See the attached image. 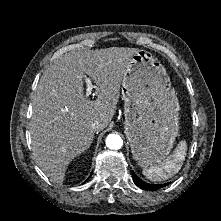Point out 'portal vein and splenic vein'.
I'll list each match as a JSON object with an SVG mask.
<instances>
[{"label":"portal vein and splenic vein","instance_id":"portal-vein-and-splenic-vein-1","mask_svg":"<svg viewBox=\"0 0 221 221\" xmlns=\"http://www.w3.org/2000/svg\"><path fill=\"white\" fill-rule=\"evenodd\" d=\"M84 80H85L86 86H87L85 96L89 97V95H91V92H92L93 88H95V86L92 84V81L88 76H85Z\"/></svg>","mask_w":221,"mask_h":221}]
</instances>
